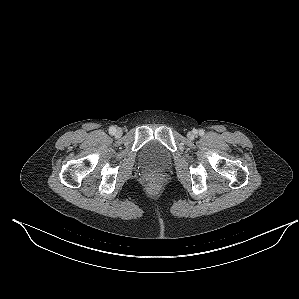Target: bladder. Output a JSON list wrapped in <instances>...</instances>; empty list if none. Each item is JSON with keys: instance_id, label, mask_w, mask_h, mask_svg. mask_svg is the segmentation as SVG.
Wrapping results in <instances>:
<instances>
[{"instance_id": "bladder-1", "label": "bladder", "mask_w": 299, "mask_h": 299, "mask_svg": "<svg viewBox=\"0 0 299 299\" xmlns=\"http://www.w3.org/2000/svg\"><path fill=\"white\" fill-rule=\"evenodd\" d=\"M141 159L150 167L162 168L170 161V154L160 144L150 142L142 149Z\"/></svg>"}]
</instances>
